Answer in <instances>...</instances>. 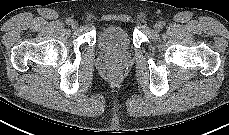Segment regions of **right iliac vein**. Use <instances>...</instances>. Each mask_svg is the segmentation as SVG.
Here are the masks:
<instances>
[{
    "mask_svg": "<svg viewBox=\"0 0 229 135\" xmlns=\"http://www.w3.org/2000/svg\"><path fill=\"white\" fill-rule=\"evenodd\" d=\"M73 28H77L78 26V22L77 21H72L71 24H70Z\"/></svg>",
    "mask_w": 229,
    "mask_h": 135,
    "instance_id": "obj_1",
    "label": "right iliac vein"
}]
</instances>
